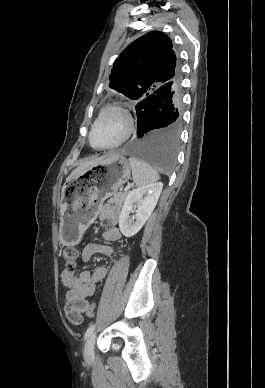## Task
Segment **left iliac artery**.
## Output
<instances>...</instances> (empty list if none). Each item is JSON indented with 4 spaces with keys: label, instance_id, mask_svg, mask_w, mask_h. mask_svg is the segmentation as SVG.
Returning <instances> with one entry per match:
<instances>
[{
    "label": "left iliac artery",
    "instance_id": "44dca946",
    "mask_svg": "<svg viewBox=\"0 0 265 388\" xmlns=\"http://www.w3.org/2000/svg\"><path fill=\"white\" fill-rule=\"evenodd\" d=\"M94 329H95V325L94 324L90 325L85 332V338H87L94 331Z\"/></svg>",
    "mask_w": 265,
    "mask_h": 388
}]
</instances>
